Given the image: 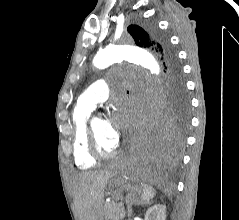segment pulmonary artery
Wrapping results in <instances>:
<instances>
[{"mask_svg": "<svg viewBox=\"0 0 239 220\" xmlns=\"http://www.w3.org/2000/svg\"><path fill=\"white\" fill-rule=\"evenodd\" d=\"M109 97V85L106 80L100 79L91 84L80 96L78 103L94 109L98 103Z\"/></svg>", "mask_w": 239, "mask_h": 220, "instance_id": "e3ab8cb5", "label": "pulmonary artery"}]
</instances>
